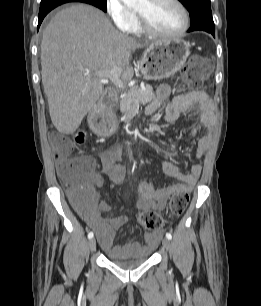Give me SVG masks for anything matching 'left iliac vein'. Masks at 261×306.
Returning <instances> with one entry per match:
<instances>
[{
    "instance_id": "4c4485c4",
    "label": "left iliac vein",
    "mask_w": 261,
    "mask_h": 306,
    "mask_svg": "<svg viewBox=\"0 0 261 306\" xmlns=\"http://www.w3.org/2000/svg\"><path fill=\"white\" fill-rule=\"evenodd\" d=\"M162 245L166 250H168L170 248V240L168 238H163Z\"/></svg>"
}]
</instances>
